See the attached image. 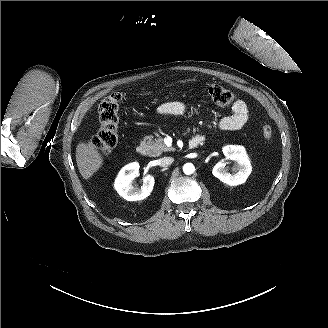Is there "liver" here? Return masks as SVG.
<instances>
[{
    "label": "liver",
    "mask_w": 328,
    "mask_h": 328,
    "mask_svg": "<svg viewBox=\"0 0 328 328\" xmlns=\"http://www.w3.org/2000/svg\"><path fill=\"white\" fill-rule=\"evenodd\" d=\"M76 162L80 174L87 180L99 170L103 159L92 145L79 143L76 148Z\"/></svg>",
    "instance_id": "6515ba94"
}]
</instances>
